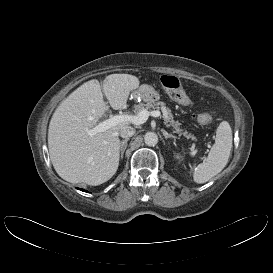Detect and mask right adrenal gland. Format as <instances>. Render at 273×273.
Returning a JSON list of instances; mask_svg holds the SVG:
<instances>
[{"mask_svg":"<svg viewBox=\"0 0 273 273\" xmlns=\"http://www.w3.org/2000/svg\"><path fill=\"white\" fill-rule=\"evenodd\" d=\"M128 141H129V138H127V139L120 142V151H121L120 157H121V159L123 158L124 152H125V150L127 148Z\"/></svg>","mask_w":273,"mask_h":273,"instance_id":"right-adrenal-gland-1","label":"right adrenal gland"}]
</instances>
